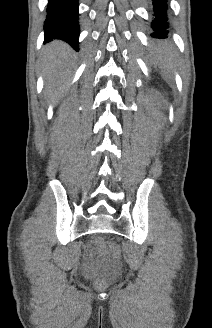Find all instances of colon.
<instances>
[{"label":"colon","mask_w":212,"mask_h":328,"mask_svg":"<svg viewBox=\"0 0 212 328\" xmlns=\"http://www.w3.org/2000/svg\"><path fill=\"white\" fill-rule=\"evenodd\" d=\"M96 245L101 254L110 252L114 259H118L120 257V248L116 243H110L107 245L102 239L98 238L96 240Z\"/></svg>","instance_id":"1"}]
</instances>
